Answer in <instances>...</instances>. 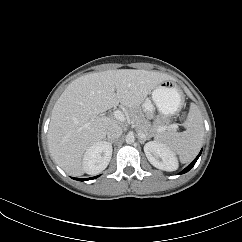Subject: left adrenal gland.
<instances>
[{
  "label": "left adrenal gland",
  "instance_id": "obj_1",
  "mask_svg": "<svg viewBox=\"0 0 242 242\" xmlns=\"http://www.w3.org/2000/svg\"><path fill=\"white\" fill-rule=\"evenodd\" d=\"M148 139H149V138H147V137H143V138H142V137H139V140H140V143H141V144H144L145 141L148 140Z\"/></svg>",
  "mask_w": 242,
  "mask_h": 242
}]
</instances>
